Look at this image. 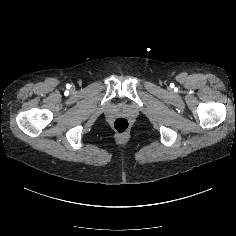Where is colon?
Listing matches in <instances>:
<instances>
[{
	"mask_svg": "<svg viewBox=\"0 0 236 236\" xmlns=\"http://www.w3.org/2000/svg\"><path fill=\"white\" fill-rule=\"evenodd\" d=\"M114 130L119 134H124L129 129V121L126 118H117L113 122Z\"/></svg>",
	"mask_w": 236,
	"mask_h": 236,
	"instance_id": "colon-1",
	"label": "colon"
}]
</instances>
